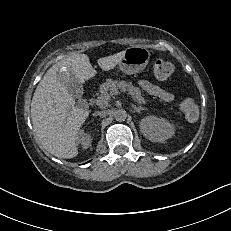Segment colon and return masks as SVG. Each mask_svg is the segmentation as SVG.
Masks as SVG:
<instances>
[{
    "instance_id": "5ec220e1",
    "label": "colon",
    "mask_w": 231,
    "mask_h": 231,
    "mask_svg": "<svg viewBox=\"0 0 231 231\" xmlns=\"http://www.w3.org/2000/svg\"><path fill=\"white\" fill-rule=\"evenodd\" d=\"M151 68L154 76L159 80L169 79L175 71L174 65L163 59L153 60ZM179 109L182 115L189 121H194L198 118L199 109L192 98H185L182 100Z\"/></svg>"
}]
</instances>
